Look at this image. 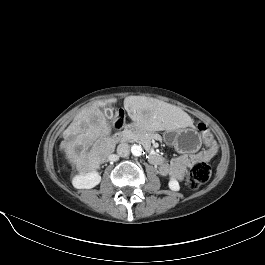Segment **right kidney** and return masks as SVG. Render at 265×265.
<instances>
[{"label":"right kidney","mask_w":265,"mask_h":265,"mask_svg":"<svg viewBox=\"0 0 265 265\" xmlns=\"http://www.w3.org/2000/svg\"><path fill=\"white\" fill-rule=\"evenodd\" d=\"M101 181V176L97 171L80 174L73 178L72 184L77 189H91Z\"/></svg>","instance_id":"obj_1"}]
</instances>
